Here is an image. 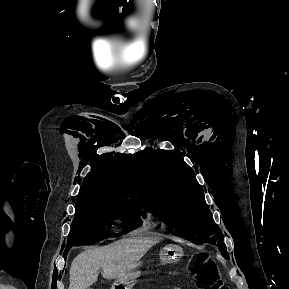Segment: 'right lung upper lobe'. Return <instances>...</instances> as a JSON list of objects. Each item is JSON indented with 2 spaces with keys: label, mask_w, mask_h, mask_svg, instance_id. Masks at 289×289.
Here are the masks:
<instances>
[{
  "label": "right lung upper lobe",
  "mask_w": 289,
  "mask_h": 289,
  "mask_svg": "<svg viewBox=\"0 0 289 289\" xmlns=\"http://www.w3.org/2000/svg\"><path fill=\"white\" fill-rule=\"evenodd\" d=\"M130 155L116 154L108 157L107 165L96 166L84 179L77 201L128 200L135 201V182L125 165Z\"/></svg>",
  "instance_id": "1"
}]
</instances>
